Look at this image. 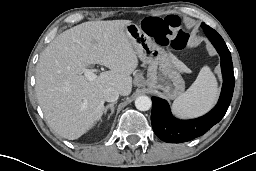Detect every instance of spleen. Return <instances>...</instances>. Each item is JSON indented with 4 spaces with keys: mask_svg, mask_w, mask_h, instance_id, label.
I'll return each instance as SVG.
<instances>
[{
    "mask_svg": "<svg viewBox=\"0 0 256 171\" xmlns=\"http://www.w3.org/2000/svg\"><path fill=\"white\" fill-rule=\"evenodd\" d=\"M218 93L214 74L204 66L189 89L174 100L172 109L181 117L201 115L213 106Z\"/></svg>",
    "mask_w": 256,
    "mask_h": 171,
    "instance_id": "obj_1",
    "label": "spleen"
}]
</instances>
